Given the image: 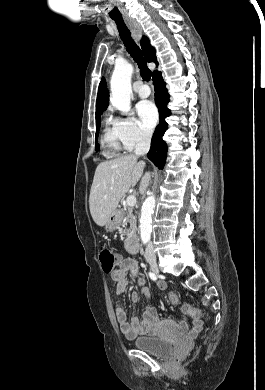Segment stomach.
<instances>
[{
  "label": "stomach",
  "instance_id": "stomach-1",
  "mask_svg": "<svg viewBox=\"0 0 265 390\" xmlns=\"http://www.w3.org/2000/svg\"><path fill=\"white\" fill-rule=\"evenodd\" d=\"M120 222H121L120 215L118 214V212L114 211L110 215V217L105 225L107 232L115 231L118 228V226L120 225Z\"/></svg>",
  "mask_w": 265,
  "mask_h": 390
}]
</instances>
